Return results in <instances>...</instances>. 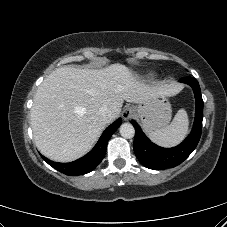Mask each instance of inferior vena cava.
I'll use <instances>...</instances> for the list:
<instances>
[{
    "instance_id": "inferior-vena-cava-1",
    "label": "inferior vena cava",
    "mask_w": 227,
    "mask_h": 227,
    "mask_svg": "<svg viewBox=\"0 0 227 227\" xmlns=\"http://www.w3.org/2000/svg\"><path fill=\"white\" fill-rule=\"evenodd\" d=\"M99 114L101 115L102 119L105 121H108V119L111 118L112 116L111 110L107 106H102L99 109Z\"/></svg>"
}]
</instances>
